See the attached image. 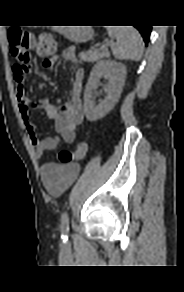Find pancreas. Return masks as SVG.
Wrapping results in <instances>:
<instances>
[{
  "instance_id": "1",
  "label": "pancreas",
  "mask_w": 184,
  "mask_h": 292,
  "mask_svg": "<svg viewBox=\"0 0 184 292\" xmlns=\"http://www.w3.org/2000/svg\"><path fill=\"white\" fill-rule=\"evenodd\" d=\"M108 56L109 52L107 50L97 48L79 53V58L84 62H95Z\"/></svg>"
}]
</instances>
